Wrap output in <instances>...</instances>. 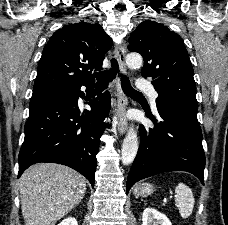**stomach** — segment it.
<instances>
[{"label":"stomach","mask_w":228,"mask_h":225,"mask_svg":"<svg viewBox=\"0 0 228 225\" xmlns=\"http://www.w3.org/2000/svg\"><path fill=\"white\" fill-rule=\"evenodd\" d=\"M155 187L153 185H149V183H143V185H138L135 189V195H139V197H148L153 193Z\"/></svg>","instance_id":"1"}]
</instances>
